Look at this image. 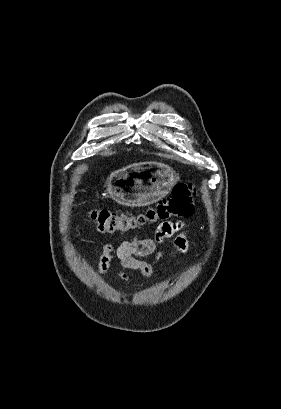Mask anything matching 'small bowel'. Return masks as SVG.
I'll return each instance as SVG.
<instances>
[{"instance_id":"1","label":"small bowel","mask_w":281,"mask_h":409,"mask_svg":"<svg viewBox=\"0 0 281 409\" xmlns=\"http://www.w3.org/2000/svg\"><path fill=\"white\" fill-rule=\"evenodd\" d=\"M188 234L184 223L180 221H166L161 223L156 229L152 238L141 239L137 236L122 241L117 247L106 244L99 257V270L106 272L110 266L112 254L118 258L123 271L118 273L119 277L128 280L127 270L139 271L146 277H151L156 272V263L162 257L163 253L158 245L166 239H172L177 253H186L188 250ZM153 255L154 263H149L138 257Z\"/></svg>"}]
</instances>
